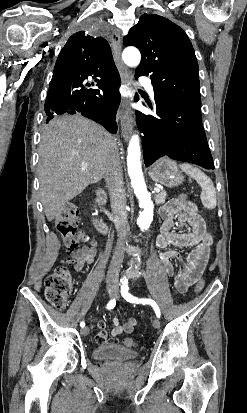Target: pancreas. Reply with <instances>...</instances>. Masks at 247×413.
Returning <instances> with one entry per match:
<instances>
[{
    "label": "pancreas",
    "mask_w": 247,
    "mask_h": 413,
    "mask_svg": "<svg viewBox=\"0 0 247 413\" xmlns=\"http://www.w3.org/2000/svg\"><path fill=\"white\" fill-rule=\"evenodd\" d=\"M166 196H167L166 190H162V192H158L155 198L156 204H163V202H165Z\"/></svg>",
    "instance_id": "cf45deb5"
}]
</instances>
